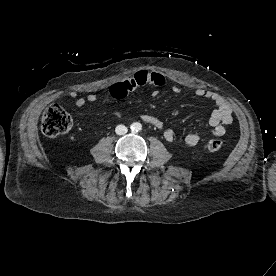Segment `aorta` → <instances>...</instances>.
Here are the masks:
<instances>
[{
    "mask_svg": "<svg viewBox=\"0 0 276 276\" xmlns=\"http://www.w3.org/2000/svg\"><path fill=\"white\" fill-rule=\"evenodd\" d=\"M131 129H132L133 131L138 132V131H140V130L142 129V125H141V123H139V122H135V123H133V124L131 125Z\"/></svg>",
    "mask_w": 276,
    "mask_h": 276,
    "instance_id": "762f6f07",
    "label": "aorta"
}]
</instances>
